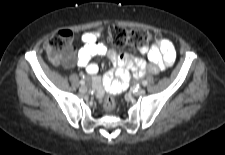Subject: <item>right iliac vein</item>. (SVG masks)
<instances>
[{
    "label": "right iliac vein",
    "mask_w": 225,
    "mask_h": 155,
    "mask_svg": "<svg viewBox=\"0 0 225 155\" xmlns=\"http://www.w3.org/2000/svg\"><path fill=\"white\" fill-rule=\"evenodd\" d=\"M79 92L82 93V94L86 93L87 92V87L86 86H81L79 88Z\"/></svg>",
    "instance_id": "1"
}]
</instances>
